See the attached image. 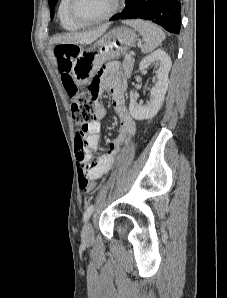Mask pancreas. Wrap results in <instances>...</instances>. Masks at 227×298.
I'll list each match as a JSON object with an SVG mask.
<instances>
[{
  "label": "pancreas",
  "instance_id": "cf45deb5",
  "mask_svg": "<svg viewBox=\"0 0 227 298\" xmlns=\"http://www.w3.org/2000/svg\"><path fill=\"white\" fill-rule=\"evenodd\" d=\"M133 65H134V59H126L123 61L122 64V70L124 71V73L129 76L132 72L133 69Z\"/></svg>",
  "mask_w": 227,
  "mask_h": 298
}]
</instances>
